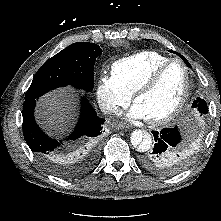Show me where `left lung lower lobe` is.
Segmentation results:
<instances>
[{
	"label": "left lung lower lobe",
	"instance_id": "left-lung-lower-lobe-1",
	"mask_svg": "<svg viewBox=\"0 0 221 221\" xmlns=\"http://www.w3.org/2000/svg\"><path fill=\"white\" fill-rule=\"evenodd\" d=\"M154 147L141 157V164L150 172L158 175H173L188 164V149L179 128H164L152 131Z\"/></svg>",
	"mask_w": 221,
	"mask_h": 221
}]
</instances>
